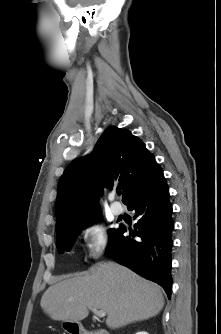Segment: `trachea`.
I'll return each instance as SVG.
<instances>
[{
    "mask_svg": "<svg viewBox=\"0 0 221 334\" xmlns=\"http://www.w3.org/2000/svg\"><path fill=\"white\" fill-rule=\"evenodd\" d=\"M117 195H121V191L120 190H117Z\"/></svg>",
    "mask_w": 221,
    "mask_h": 334,
    "instance_id": "3493384b",
    "label": "trachea"
}]
</instances>
